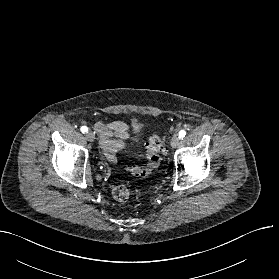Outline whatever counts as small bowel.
I'll return each instance as SVG.
<instances>
[{"instance_id": "small-bowel-1", "label": "small bowel", "mask_w": 279, "mask_h": 279, "mask_svg": "<svg viewBox=\"0 0 279 279\" xmlns=\"http://www.w3.org/2000/svg\"><path fill=\"white\" fill-rule=\"evenodd\" d=\"M99 134L100 145L105 157L110 161H115L117 153L127 148L126 140L130 136L131 128L123 121H113L105 123L96 122L94 126Z\"/></svg>"}]
</instances>
